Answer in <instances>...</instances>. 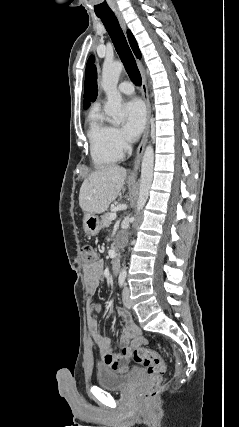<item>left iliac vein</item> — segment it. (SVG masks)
<instances>
[{
	"label": "left iliac vein",
	"instance_id": "1",
	"mask_svg": "<svg viewBox=\"0 0 239 427\" xmlns=\"http://www.w3.org/2000/svg\"><path fill=\"white\" fill-rule=\"evenodd\" d=\"M123 304L125 305V307L127 308H131V301H130V291L129 288L127 286L124 287L123 289Z\"/></svg>",
	"mask_w": 239,
	"mask_h": 427
}]
</instances>
